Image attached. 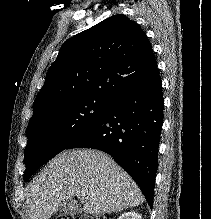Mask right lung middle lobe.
<instances>
[{
  "label": "right lung middle lobe",
  "instance_id": "obj_1",
  "mask_svg": "<svg viewBox=\"0 0 211 219\" xmlns=\"http://www.w3.org/2000/svg\"><path fill=\"white\" fill-rule=\"evenodd\" d=\"M111 102L99 97L75 99L30 120L24 156V180L27 181L43 164L92 127Z\"/></svg>",
  "mask_w": 211,
  "mask_h": 219
}]
</instances>
